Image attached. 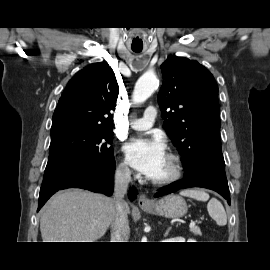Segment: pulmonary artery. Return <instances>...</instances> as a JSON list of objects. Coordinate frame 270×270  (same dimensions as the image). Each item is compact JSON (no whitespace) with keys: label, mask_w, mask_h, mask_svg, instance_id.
<instances>
[{"label":"pulmonary artery","mask_w":270,"mask_h":270,"mask_svg":"<svg viewBox=\"0 0 270 270\" xmlns=\"http://www.w3.org/2000/svg\"><path fill=\"white\" fill-rule=\"evenodd\" d=\"M157 110L155 107H148L142 118L134 119L131 121L130 126L135 130L144 131L153 126L154 120L156 118Z\"/></svg>","instance_id":"obj_1"}]
</instances>
